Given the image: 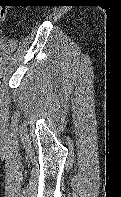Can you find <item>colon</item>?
Here are the masks:
<instances>
[{
  "instance_id": "colon-1",
  "label": "colon",
  "mask_w": 121,
  "mask_h": 197,
  "mask_svg": "<svg viewBox=\"0 0 121 197\" xmlns=\"http://www.w3.org/2000/svg\"><path fill=\"white\" fill-rule=\"evenodd\" d=\"M2 3V0L0 1ZM7 13V7L4 4H0V22L5 20Z\"/></svg>"
}]
</instances>
